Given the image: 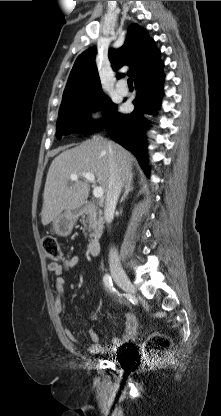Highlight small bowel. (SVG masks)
I'll return each mask as SVG.
<instances>
[{
  "instance_id": "1",
  "label": "small bowel",
  "mask_w": 221,
  "mask_h": 416,
  "mask_svg": "<svg viewBox=\"0 0 221 416\" xmlns=\"http://www.w3.org/2000/svg\"><path fill=\"white\" fill-rule=\"evenodd\" d=\"M80 258L76 255L67 257L61 264L58 263H49L47 265V270L54 274L55 279V309L57 312L62 313L65 310V290L64 284L65 280L62 277L63 273L67 270L76 268L79 265ZM126 327L124 332L113 339L112 345L108 348H105L100 342L99 334L94 331H89V337L91 340L90 345L88 346V351L92 354H100L105 352H115L121 347L128 344L134 337L136 332V318L134 315L127 313L125 314ZM66 335L71 341H77L78 337L75 332L70 329L66 330Z\"/></svg>"
}]
</instances>
